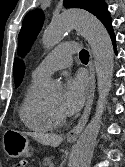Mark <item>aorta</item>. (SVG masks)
Instances as JSON below:
<instances>
[{"mask_svg": "<svg viewBox=\"0 0 125 167\" xmlns=\"http://www.w3.org/2000/svg\"><path fill=\"white\" fill-rule=\"evenodd\" d=\"M72 28H76L88 41L95 58L98 80L99 100L95 116L81 134L70 158V167H89L106 97L111 88L114 51L111 38L103 24L96 17L84 11L65 12L55 18L44 31L43 45L46 48L55 46ZM60 89L58 83L52 82L48 87V93L56 94L60 92Z\"/></svg>", "mask_w": 125, "mask_h": 167, "instance_id": "1", "label": "aorta"}]
</instances>
